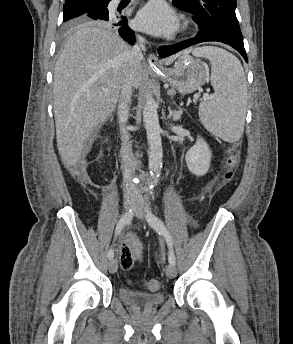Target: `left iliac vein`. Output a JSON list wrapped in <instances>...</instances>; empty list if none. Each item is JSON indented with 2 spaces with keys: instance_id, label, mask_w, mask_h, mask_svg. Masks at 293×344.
I'll list each match as a JSON object with an SVG mask.
<instances>
[{
  "instance_id": "left-iliac-vein-1",
  "label": "left iliac vein",
  "mask_w": 293,
  "mask_h": 344,
  "mask_svg": "<svg viewBox=\"0 0 293 344\" xmlns=\"http://www.w3.org/2000/svg\"><path fill=\"white\" fill-rule=\"evenodd\" d=\"M135 215L142 219L144 217V209L141 203H138L135 208ZM165 273L169 278H174L177 275V271L174 265H167L165 268Z\"/></svg>"
}]
</instances>
